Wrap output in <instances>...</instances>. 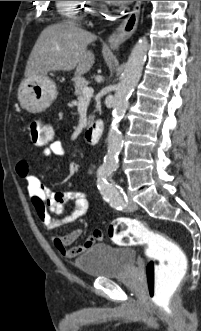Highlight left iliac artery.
<instances>
[{"mask_svg": "<svg viewBox=\"0 0 201 331\" xmlns=\"http://www.w3.org/2000/svg\"><path fill=\"white\" fill-rule=\"evenodd\" d=\"M114 170H104L99 173L97 179L98 189L101 191L102 195L106 201L117 210H122L127 205V198L119 193V186H115L109 182L110 175ZM122 192V190H121Z\"/></svg>", "mask_w": 201, "mask_h": 331, "instance_id": "1", "label": "left iliac artery"}]
</instances>
